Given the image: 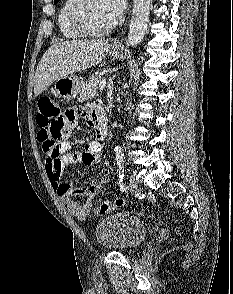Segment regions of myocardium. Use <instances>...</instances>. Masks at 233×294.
I'll return each mask as SVG.
<instances>
[{"label":"myocardium","mask_w":233,"mask_h":294,"mask_svg":"<svg viewBox=\"0 0 233 294\" xmlns=\"http://www.w3.org/2000/svg\"><path fill=\"white\" fill-rule=\"evenodd\" d=\"M90 1L91 0H75V4L71 12V20L73 25L84 36L101 37L110 33L119 24L120 19L117 18L113 23H111L109 26L103 29H99V30L92 29L88 25L86 21V17H85L86 7Z\"/></svg>","instance_id":"obj_1"}]
</instances>
